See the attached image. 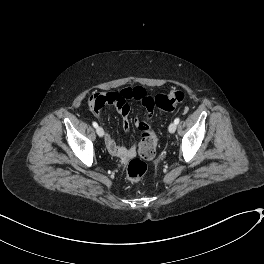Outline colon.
I'll return each instance as SVG.
<instances>
[{
    "mask_svg": "<svg viewBox=\"0 0 264 264\" xmlns=\"http://www.w3.org/2000/svg\"><path fill=\"white\" fill-rule=\"evenodd\" d=\"M135 99L144 101L149 112L156 109L170 111L183 102L184 94L180 91H173L169 94H158L155 98L146 99L139 92ZM137 128L142 132V138L139 143V154L144 159H152L156 154L157 136L152 131L147 120H139L136 123ZM146 163L141 159H133L126 172V177L131 182H138L146 173Z\"/></svg>",
    "mask_w": 264,
    "mask_h": 264,
    "instance_id": "5ec220e1",
    "label": "colon"
}]
</instances>
